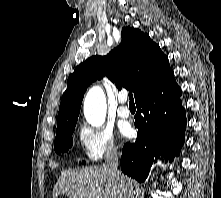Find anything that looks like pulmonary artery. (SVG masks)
Listing matches in <instances>:
<instances>
[{"label":"pulmonary artery","instance_id":"pulmonary-artery-1","mask_svg":"<svg viewBox=\"0 0 221 198\" xmlns=\"http://www.w3.org/2000/svg\"><path fill=\"white\" fill-rule=\"evenodd\" d=\"M118 101L120 103L117 113L121 118H128L131 114L129 107L126 105L127 94L120 93L118 96Z\"/></svg>","mask_w":221,"mask_h":198}]
</instances>
